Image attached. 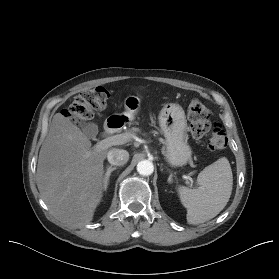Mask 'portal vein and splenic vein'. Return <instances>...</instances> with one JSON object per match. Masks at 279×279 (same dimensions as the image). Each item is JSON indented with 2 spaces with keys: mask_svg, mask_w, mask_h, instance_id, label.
I'll return each instance as SVG.
<instances>
[{
  "mask_svg": "<svg viewBox=\"0 0 279 279\" xmlns=\"http://www.w3.org/2000/svg\"><path fill=\"white\" fill-rule=\"evenodd\" d=\"M129 140H130V135L128 133H121L118 135H114L99 141L95 145V150H102L111 147L113 145L125 144Z\"/></svg>",
  "mask_w": 279,
  "mask_h": 279,
  "instance_id": "18ae733b",
  "label": "portal vein and splenic vein"
}]
</instances>
